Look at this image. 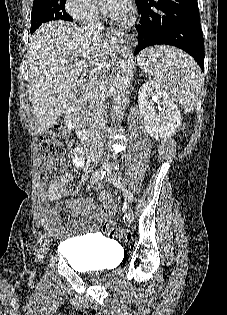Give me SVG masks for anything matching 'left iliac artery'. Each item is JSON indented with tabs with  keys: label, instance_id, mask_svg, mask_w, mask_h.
Here are the masks:
<instances>
[{
	"label": "left iliac artery",
	"instance_id": "obj_1",
	"mask_svg": "<svg viewBox=\"0 0 227 315\" xmlns=\"http://www.w3.org/2000/svg\"><path fill=\"white\" fill-rule=\"evenodd\" d=\"M107 175V180L111 183H113L116 187L118 188H122V191L124 192V197H125V201L126 203H132V201L134 200L133 194L132 192H130L127 189V181L126 180H120L118 178H116L110 170L107 171L106 173Z\"/></svg>",
	"mask_w": 227,
	"mask_h": 315
}]
</instances>
